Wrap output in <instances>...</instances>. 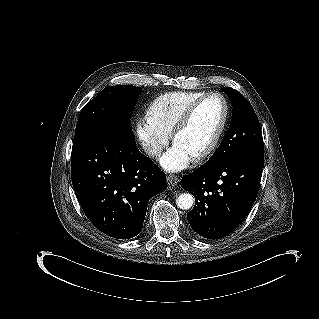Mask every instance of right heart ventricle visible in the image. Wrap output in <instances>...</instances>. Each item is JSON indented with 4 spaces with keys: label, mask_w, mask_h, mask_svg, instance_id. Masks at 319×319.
<instances>
[{
    "label": "right heart ventricle",
    "mask_w": 319,
    "mask_h": 319,
    "mask_svg": "<svg viewBox=\"0 0 319 319\" xmlns=\"http://www.w3.org/2000/svg\"><path fill=\"white\" fill-rule=\"evenodd\" d=\"M200 91H179L161 95L148 111L146 122L157 130L170 132L184 112L204 96Z\"/></svg>",
    "instance_id": "1"
}]
</instances>
